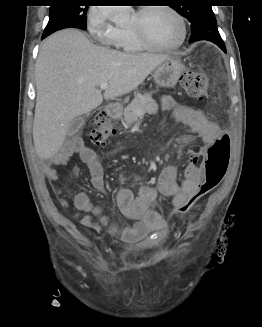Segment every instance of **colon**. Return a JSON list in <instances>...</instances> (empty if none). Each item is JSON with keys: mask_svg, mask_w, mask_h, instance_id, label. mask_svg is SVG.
Listing matches in <instances>:
<instances>
[{"mask_svg": "<svg viewBox=\"0 0 262 327\" xmlns=\"http://www.w3.org/2000/svg\"><path fill=\"white\" fill-rule=\"evenodd\" d=\"M181 85L192 98L202 101L207 98L208 78L203 73L188 71L181 77ZM115 133L110 115L105 110L94 117L93 128L89 138L96 145L105 144ZM230 161V138L226 133L220 134L205 150L201 157L203 180L197 190L190 194L177 209L179 213L188 212L199 200L215 189L222 181Z\"/></svg>", "mask_w": 262, "mask_h": 327, "instance_id": "5ec220e1", "label": "colon"}]
</instances>
